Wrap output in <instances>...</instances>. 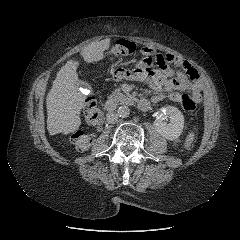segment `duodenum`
Here are the masks:
<instances>
[{
	"label": "duodenum",
	"instance_id": "duodenum-1",
	"mask_svg": "<svg viewBox=\"0 0 240 240\" xmlns=\"http://www.w3.org/2000/svg\"><path fill=\"white\" fill-rule=\"evenodd\" d=\"M137 107L141 111H146L149 108V102L146 100H139L137 102ZM116 108V104L113 100H107L105 102V109L108 112H112Z\"/></svg>",
	"mask_w": 240,
	"mask_h": 240
}]
</instances>
